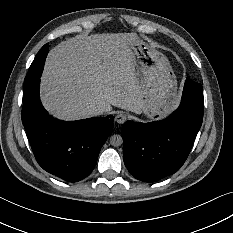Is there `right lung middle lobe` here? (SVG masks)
I'll return each mask as SVG.
<instances>
[{
    "label": "right lung middle lobe",
    "instance_id": "right-lung-middle-lobe-1",
    "mask_svg": "<svg viewBox=\"0 0 233 233\" xmlns=\"http://www.w3.org/2000/svg\"><path fill=\"white\" fill-rule=\"evenodd\" d=\"M47 47L48 44L44 45L43 48L36 55L34 61L32 62L28 74L24 80V89L41 76L45 60V56H43L42 54L44 53V49Z\"/></svg>",
    "mask_w": 233,
    "mask_h": 233
}]
</instances>
